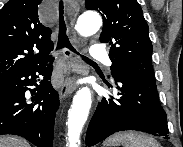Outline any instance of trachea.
<instances>
[{
  "mask_svg": "<svg viewBox=\"0 0 183 147\" xmlns=\"http://www.w3.org/2000/svg\"><path fill=\"white\" fill-rule=\"evenodd\" d=\"M64 6H63V1H60L59 3V38H58V45H57V50H60L62 48H68L70 51L73 53L78 54V52L74 49V47L71 45L67 35H66V25L64 21ZM81 58L85 62H93L89 58L85 56H81Z\"/></svg>",
  "mask_w": 183,
  "mask_h": 147,
  "instance_id": "trachea-1",
  "label": "trachea"
}]
</instances>
